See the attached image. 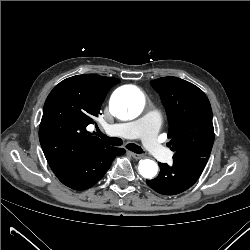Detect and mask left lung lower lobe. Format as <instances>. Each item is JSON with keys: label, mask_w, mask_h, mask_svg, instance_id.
Listing matches in <instances>:
<instances>
[{"label": "left lung lower lobe", "mask_w": 250, "mask_h": 250, "mask_svg": "<svg viewBox=\"0 0 250 250\" xmlns=\"http://www.w3.org/2000/svg\"><path fill=\"white\" fill-rule=\"evenodd\" d=\"M206 163L204 158L177 160L173 166L158 163L161 168L159 175L153 180H146V183L160 194H179L197 181Z\"/></svg>", "instance_id": "0a47b994"}]
</instances>
